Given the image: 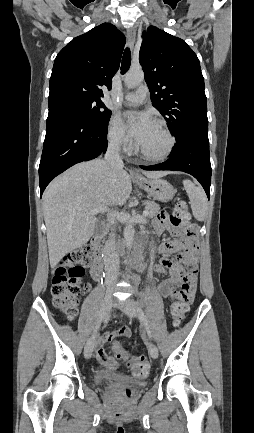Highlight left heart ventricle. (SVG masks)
<instances>
[{
    "label": "left heart ventricle",
    "instance_id": "left-heart-ventricle-1",
    "mask_svg": "<svg viewBox=\"0 0 254 433\" xmlns=\"http://www.w3.org/2000/svg\"><path fill=\"white\" fill-rule=\"evenodd\" d=\"M139 146L151 155L163 153L168 146V138L162 129L155 123L144 137Z\"/></svg>",
    "mask_w": 254,
    "mask_h": 433
}]
</instances>
